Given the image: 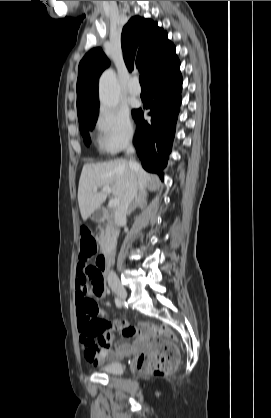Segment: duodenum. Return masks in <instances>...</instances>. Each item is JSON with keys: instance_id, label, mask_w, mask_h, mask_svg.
<instances>
[{"instance_id": "410a0bca", "label": "duodenum", "mask_w": 271, "mask_h": 418, "mask_svg": "<svg viewBox=\"0 0 271 418\" xmlns=\"http://www.w3.org/2000/svg\"><path fill=\"white\" fill-rule=\"evenodd\" d=\"M96 221L109 220L111 218L110 214L105 211H96L93 215ZM114 251V231L110 233L109 240L105 244L102 253L97 258L96 265L102 267V274H105L110 266L111 259Z\"/></svg>"}]
</instances>
